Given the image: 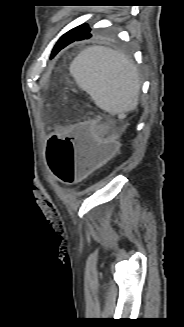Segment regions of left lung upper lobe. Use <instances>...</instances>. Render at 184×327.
Instances as JSON below:
<instances>
[{
    "label": "left lung upper lobe",
    "mask_w": 184,
    "mask_h": 327,
    "mask_svg": "<svg viewBox=\"0 0 184 327\" xmlns=\"http://www.w3.org/2000/svg\"><path fill=\"white\" fill-rule=\"evenodd\" d=\"M76 31H78L79 35H88L91 33V28L88 26V24H83L75 28Z\"/></svg>",
    "instance_id": "1"
}]
</instances>
